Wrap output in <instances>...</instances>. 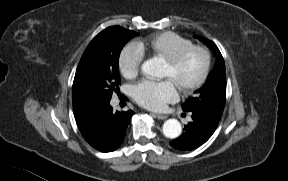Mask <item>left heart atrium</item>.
<instances>
[{
	"instance_id": "left-heart-atrium-1",
	"label": "left heart atrium",
	"mask_w": 288,
	"mask_h": 181,
	"mask_svg": "<svg viewBox=\"0 0 288 181\" xmlns=\"http://www.w3.org/2000/svg\"><path fill=\"white\" fill-rule=\"evenodd\" d=\"M135 101L150 110H161L169 102L176 100L177 89L169 79L162 81L142 80L133 86Z\"/></svg>"
}]
</instances>
